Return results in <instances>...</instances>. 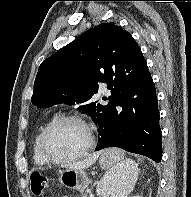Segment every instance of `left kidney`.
<instances>
[{"label":"left kidney","instance_id":"5707ae66","mask_svg":"<svg viewBox=\"0 0 191 197\" xmlns=\"http://www.w3.org/2000/svg\"><path fill=\"white\" fill-rule=\"evenodd\" d=\"M130 197H142V196H139V195H133V196H130Z\"/></svg>","mask_w":191,"mask_h":197}]
</instances>
